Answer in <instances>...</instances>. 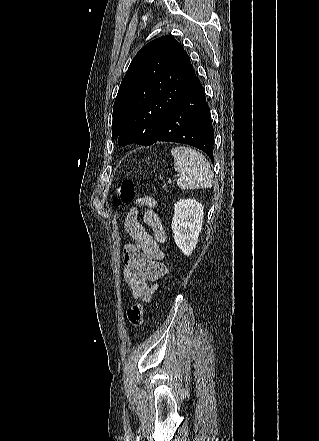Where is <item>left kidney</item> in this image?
<instances>
[{"mask_svg":"<svg viewBox=\"0 0 319 441\" xmlns=\"http://www.w3.org/2000/svg\"><path fill=\"white\" fill-rule=\"evenodd\" d=\"M203 206L195 199H182L175 204L172 231L177 247L191 255L198 242L203 223Z\"/></svg>","mask_w":319,"mask_h":441,"instance_id":"obj_1","label":"left kidney"}]
</instances>
